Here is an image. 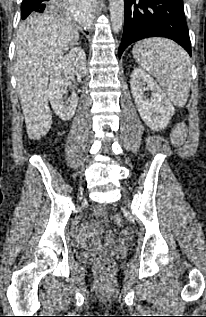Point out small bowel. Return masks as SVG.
Listing matches in <instances>:
<instances>
[{
  "mask_svg": "<svg viewBox=\"0 0 206 317\" xmlns=\"http://www.w3.org/2000/svg\"><path fill=\"white\" fill-rule=\"evenodd\" d=\"M74 233L79 242L85 243L89 238L98 236L102 233L101 226L94 222L91 225L78 223L74 229ZM131 237V232L128 229L122 231L121 240L128 241Z\"/></svg>",
  "mask_w": 206,
  "mask_h": 317,
  "instance_id": "small-bowel-1",
  "label": "small bowel"
}]
</instances>
